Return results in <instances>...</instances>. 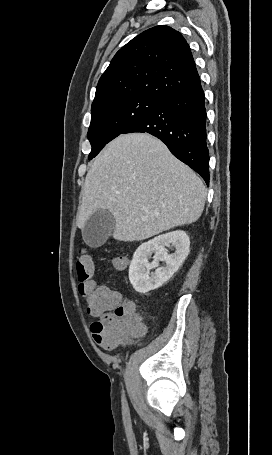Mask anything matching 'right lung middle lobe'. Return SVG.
<instances>
[{"label": "right lung middle lobe", "mask_w": 272, "mask_h": 455, "mask_svg": "<svg viewBox=\"0 0 272 455\" xmlns=\"http://www.w3.org/2000/svg\"><path fill=\"white\" fill-rule=\"evenodd\" d=\"M163 101L158 97L134 96L91 108L88 139L92 150L89 159L94 158L108 142L128 127L157 109Z\"/></svg>", "instance_id": "dd1d6c3e"}]
</instances>
